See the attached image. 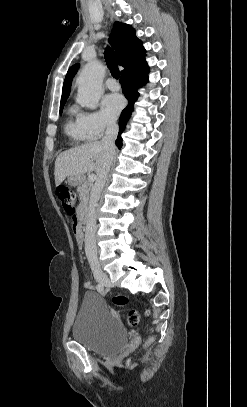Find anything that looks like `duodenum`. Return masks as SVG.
Wrapping results in <instances>:
<instances>
[{"label":"duodenum","mask_w":247,"mask_h":407,"mask_svg":"<svg viewBox=\"0 0 247 407\" xmlns=\"http://www.w3.org/2000/svg\"><path fill=\"white\" fill-rule=\"evenodd\" d=\"M86 220H87V209L85 206H81L78 210L76 222H81L82 224H85Z\"/></svg>","instance_id":"obj_1"}]
</instances>
